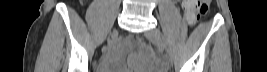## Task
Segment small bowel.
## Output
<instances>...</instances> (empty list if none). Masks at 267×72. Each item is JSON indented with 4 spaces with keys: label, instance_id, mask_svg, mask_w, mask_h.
Returning a JSON list of instances; mask_svg holds the SVG:
<instances>
[{
    "label": "small bowel",
    "instance_id": "1",
    "mask_svg": "<svg viewBox=\"0 0 267 72\" xmlns=\"http://www.w3.org/2000/svg\"><path fill=\"white\" fill-rule=\"evenodd\" d=\"M195 1L193 0H184L182 1V8L185 12L186 20L190 25L196 22L197 16L195 14Z\"/></svg>",
    "mask_w": 267,
    "mask_h": 72
}]
</instances>
